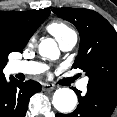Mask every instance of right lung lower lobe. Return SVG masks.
<instances>
[{"label": "right lung lower lobe", "mask_w": 117, "mask_h": 117, "mask_svg": "<svg viewBox=\"0 0 117 117\" xmlns=\"http://www.w3.org/2000/svg\"><path fill=\"white\" fill-rule=\"evenodd\" d=\"M41 91L34 81L0 80V117H25L30 97Z\"/></svg>", "instance_id": "obj_1"}]
</instances>
